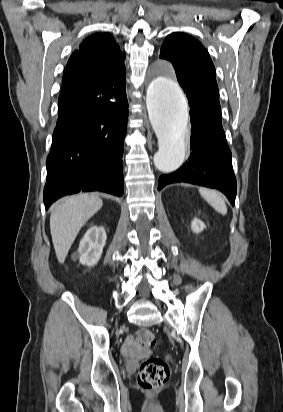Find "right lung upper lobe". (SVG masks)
<instances>
[{"mask_svg": "<svg viewBox=\"0 0 283 412\" xmlns=\"http://www.w3.org/2000/svg\"><path fill=\"white\" fill-rule=\"evenodd\" d=\"M124 60L125 54L110 34L87 37L64 70L59 108L83 93L94 92L102 84H126Z\"/></svg>", "mask_w": 283, "mask_h": 412, "instance_id": "obj_1", "label": "right lung upper lobe"}]
</instances>
